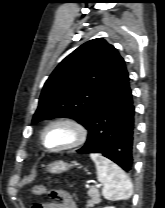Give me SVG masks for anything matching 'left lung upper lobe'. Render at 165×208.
<instances>
[{"label": "left lung upper lobe", "instance_id": "left-lung-upper-lobe-1", "mask_svg": "<svg viewBox=\"0 0 165 208\" xmlns=\"http://www.w3.org/2000/svg\"><path fill=\"white\" fill-rule=\"evenodd\" d=\"M124 68L123 58L104 39L82 44L56 67L44 84L32 124L67 117L87 128Z\"/></svg>", "mask_w": 165, "mask_h": 208}]
</instances>
